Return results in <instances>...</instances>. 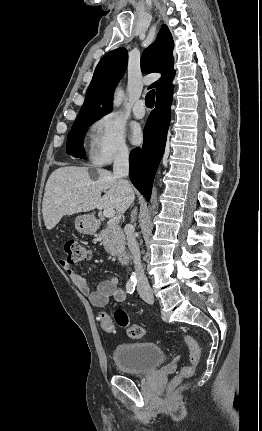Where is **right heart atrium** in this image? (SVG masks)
Returning <instances> with one entry per match:
<instances>
[{
    "instance_id": "1",
    "label": "right heart atrium",
    "mask_w": 262,
    "mask_h": 431,
    "mask_svg": "<svg viewBox=\"0 0 262 431\" xmlns=\"http://www.w3.org/2000/svg\"><path fill=\"white\" fill-rule=\"evenodd\" d=\"M129 148L121 121L111 113L99 117L91 127L90 158L99 165L126 158Z\"/></svg>"
}]
</instances>
